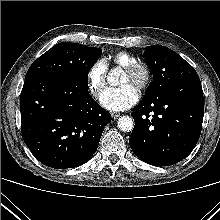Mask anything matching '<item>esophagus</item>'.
Listing matches in <instances>:
<instances>
[{"label": "esophagus", "instance_id": "obj_1", "mask_svg": "<svg viewBox=\"0 0 220 220\" xmlns=\"http://www.w3.org/2000/svg\"><path fill=\"white\" fill-rule=\"evenodd\" d=\"M111 115L113 119H118L121 116L120 113H112Z\"/></svg>", "mask_w": 220, "mask_h": 220}]
</instances>
